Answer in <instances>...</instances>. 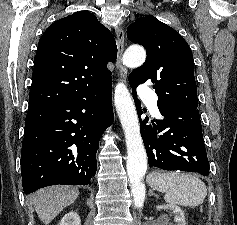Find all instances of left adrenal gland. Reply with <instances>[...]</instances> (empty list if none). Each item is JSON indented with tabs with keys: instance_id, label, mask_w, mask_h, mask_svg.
<instances>
[{
	"instance_id": "left-adrenal-gland-1",
	"label": "left adrenal gland",
	"mask_w": 237,
	"mask_h": 225,
	"mask_svg": "<svg viewBox=\"0 0 237 225\" xmlns=\"http://www.w3.org/2000/svg\"><path fill=\"white\" fill-rule=\"evenodd\" d=\"M149 195L151 196V195H154V196H156L157 198H158V195L157 194H155V193H153V191L152 190H150L149 191Z\"/></svg>"
}]
</instances>
